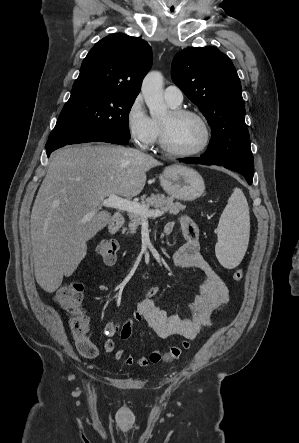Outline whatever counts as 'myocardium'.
I'll list each match as a JSON object with an SVG mask.
<instances>
[{
	"label": "myocardium",
	"instance_id": "myocardium-1",
	"mask_svg": "<svg viewBox=\"0 0 299 443\" xmlns=\"http://www.w3.org/2000/svg\"><path fill=\"white\" fill-rule=\"evenodd\" d=\"M174 117L192 116L197 118L204 128V139L201 145L192 151H176L171 149L166 142V131L162 123H159L158 146L160 150L171 157L175 158H191L202 154L210 145L212 139V130L207 118L199 111L185 108H175L171 110Z\"/></svg>",
	"mask_w": 299,
	"mask_h": 443
}]
</instances>
